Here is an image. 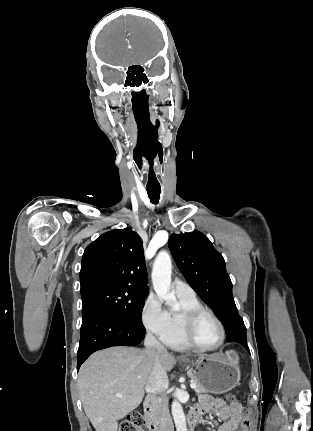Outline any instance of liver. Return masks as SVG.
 Listing matches in <instances>:
<instances>
[{
    "instance_id": "liver-1",
    "label": "liver",
    "mask_w": 313,
    "mask_h": 431,
    "mask_svg": "<svg viewBox=\"0 0 313 431\" xmlns=\"http://www.w3.org/2000/svg\"><path fill=\"white\" fill-rule=\"evenodd\" d=\"M160 362L171 371L176 359L167 352ZM152 366L147 349L129 347L108 348L87 359L79 370L78 390L96 431H117L118 420L139 406Z\"/></svg>"
}]
</instances>
